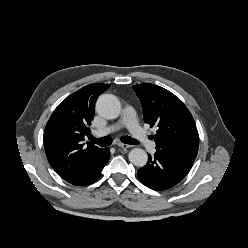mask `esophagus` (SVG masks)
<instances>
[{
	"label": "esophagus",
	"mask_w": 248,
	"mask_h": 248,
	"mask_svg": "<svg viewBox=\"0 0 248 248\" xmlns=\"http://www.w3.org/2000/svg\"><path fill=\"white\" fill-rule=\"evenodd\" d=\"M117 146L122 149V150H126L128 148H130L131 146L130 145H127V144H124V143H117Z\"/></svg>",
	"instance_id": "34e87169"
}]
</instances>
